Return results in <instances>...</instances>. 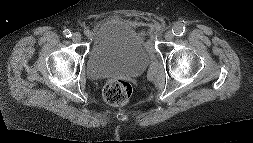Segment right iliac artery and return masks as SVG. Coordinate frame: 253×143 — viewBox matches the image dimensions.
Wrapping results in <instances>:
<instances>
[{"label": "right iliac artery", "mask_w": 253, "mask_h": 143, "mask_svg": "<svg viewBox=\"0 0 253 143\" xmlns=\"http://www.w3.org/2000/svg\"><path fill=\"white\" fill-rule=\"evenodd\" d=\"M63 33L66 37H71L72 36L71 32L68 29L64 30Z\"/></svg>", "instance_id": "82829eb1"}]
</instances>
